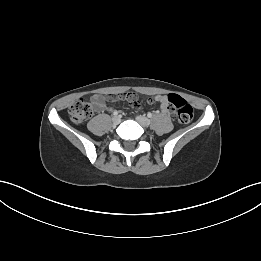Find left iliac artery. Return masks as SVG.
I'll use <instances>...</instances> for the list:
<instances>
[{
    "label": "left iliac artery",
    "mask_w": 261,
    "mask_h": 261,
    "mask_svg": "<svg viewBox=\"0 0 261 261\" xmlns=\"http://www.w3.org/2000/svg\"><path fill=\"white\" fill-rule=\"evenodd\" d=\"M147 116H148L149 118H151V117H152V113H148Z\"/></svg>",
    "instance_id": "44dca946"
}]
</instances>
